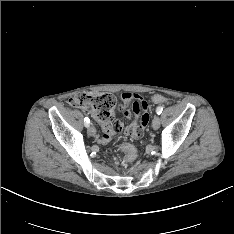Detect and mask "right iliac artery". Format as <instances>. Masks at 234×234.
<instances>
[{
  "instance_id": "1",
  "label": "right iliac artery",
  "mask_w": 234,
  "mask_h": 234,
  "mask_svg": "<svg viewBox=\"0 0 234 234\" xmlns=\"http://www.w3.org/2000/svg\"><path fill=\"white\" fill-rule=\"evenodd\" d=\"M89 123H90L89 118L85 117V119H84V124H85V126L88 127V126H89Z\"/></svg>"
}]
</instances>
